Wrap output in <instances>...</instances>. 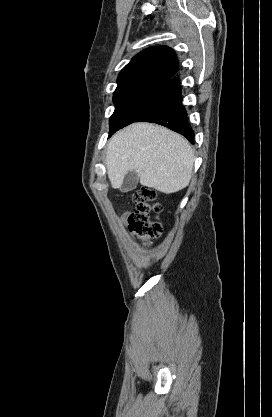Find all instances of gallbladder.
<instances>
[{"label": "gallbladder", "mask_w": 272, "mask_h": 417, "mask_svg": "<svg viewBox=\"0 0 272 417\" xmlns=\"http://www.w3.org/2000/svg\"><path fill=\"white\" fill-rule=\"evenodd\" d=\"M137 183H138V177H137L136 172L129 171L124 177V180L121 186V191L124 193L132 191L136 188Z\"/></svg>", "instance_id": "gallbladder-1"}]
</instances>
